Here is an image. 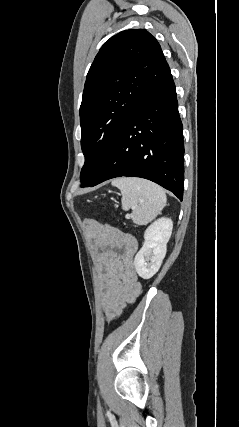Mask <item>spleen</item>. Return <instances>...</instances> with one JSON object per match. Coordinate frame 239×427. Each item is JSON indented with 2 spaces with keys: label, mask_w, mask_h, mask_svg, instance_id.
I'll return each instance as SVG.
<instances>
[{
  "label": "spleen",
  "mask_w": 239,
  "mask_h": 427,
  "mask_svg": "<svg viewBox=\"0 0 239 427\" xmlns=\"http://www.w3.org/2000/svg\"><path fill=\"white\" fill-rule=\"evenodd\" d=\"M122 194L123 210L133 209L132 220L138 225L151 222L166 205V194L159 185L141 178L122 177L112 181Z\"/></svg>",
  "instance_id": "obj_1"
}]
</instances>
